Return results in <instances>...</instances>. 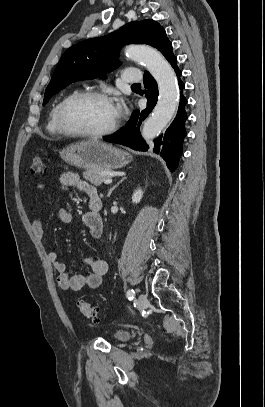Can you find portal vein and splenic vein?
<instances>
[{
	"instance_id": "18ae733b",
	"label": "portal vein and splenic vein",
	"mask_w": 265,
	"mask_h": 407,
	"mask_svg": "<svg viewBox=\"0 0 265 407\" xmlns=\"http://www.w3.org/2000/svg\"><path fill=\"white\" fill-rule=\"evenodd\" d=\"M105 184H111L112 183V179L111 178H107L104 180Z\"/></svg>"
}]
</instances>
